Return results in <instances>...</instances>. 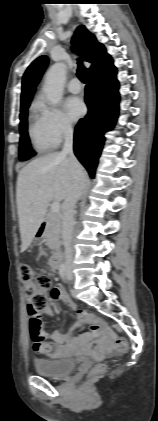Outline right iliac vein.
Instances as JSON below:
<instances>
[{"label":"right iliac vein","mask_w":158,"mask_h":421,"mask_svg":"<svg viewBox=\"0 0 158 421\" xmlns=\"http://www.w3.org/2000/svg\"><path fill=\"white\" fill-rule=\"evenodd\" d=\"M68 273L70 274V276L72 277V271L70 268H68Z\"/></svg>","instance_id":"obj_1"}]
</instances>
